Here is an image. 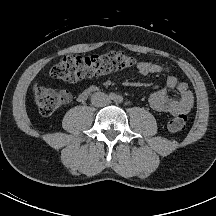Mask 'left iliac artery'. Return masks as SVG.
Segmentation results:
<instances>
[{"label": "left iliac artery", "instance_id": "left-iliac-artery-1", "mask_svg": "<svg viewBox=\"0 0 216 216\" xmlns=\"http://www.w3.org/2000/svg\"><path fill=\"white\" fill-rule=\"evenodd\" d=\"M117 100H118L119 102L122 101V97L118 96V97H117Z\"/></svg>", "mask_w": 216, "mask_h": 216}]
</instances>
